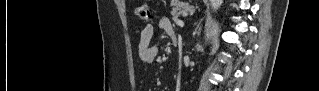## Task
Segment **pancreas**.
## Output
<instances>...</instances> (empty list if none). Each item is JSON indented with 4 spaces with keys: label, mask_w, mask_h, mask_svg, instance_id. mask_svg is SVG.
Wrapping results in <instances>:
<instances>
[{
    "label": "pancreas",
    "mask_w": 319,
    "mask_h": 91,
    "mask_svg": "<svg viewBox=\"0 0 319 91\" xmlns=\"http://www.w3.org/2000/svg\"><path fill=\"white\" fill-rule=\"evenodd\" d=\"M193 8L187 4H183L181 2L174 3V7L171 11V15L173 16V21L177 23L179 20V17L182 13H188L192 10Z\"/></svg>",
    "instance_id": "1"
}]
</instances>
